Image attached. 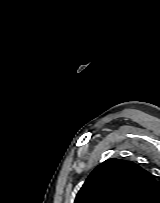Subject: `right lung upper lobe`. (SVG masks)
Masks as SVG:
<instances>
[{"mask_svg": "<svg viewBox=\"0 0 160 203\" xmlns=\"http://www.w3.org/2000/svg\"><path fill=\"white\" fill-rule=\"evenodd\" d=\"M159 194L154 175L132 161L112 158L92 171L74 203H153Z\"/></svg>", "mask_w": 160, "mask_h": 203, "instance_id": "cb5924a9", "label": "right lung upper lobe"}]
</instances>
